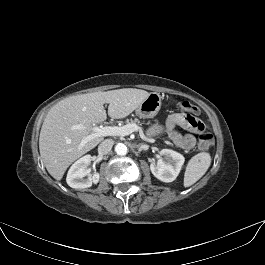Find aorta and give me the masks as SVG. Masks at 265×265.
<instances>
[{
  "label": "aorta",
  "instance_id": "obj_1",
  "mask_svg": "<svg viewBox=\"0 0 265 265\" xmlns=\"http://www.w3.org/2000/svg\"><path fill=\"white\" fill-rule=\"evenodd\" d=\"M115 152L121 156L126 155L128 152L127 146L123 143H119L115 147Z\"/></svg>",
  "mask_w": 265,
  "mask_h": 265
}]
</instances>
